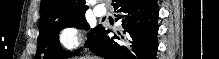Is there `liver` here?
Returning <instances> with one entry per match:
<instances>
[{"instance_id":"obj_1","label":"liver","mask_w":219,"mask_h":59,"mask_svg":"<svg viewBox=\"0 0 219 59\" xmlns=\"http://www.w3.org/2000/svg\"><path fill=\"white\" fill-rule=\"evenodd\" d=\"M79 59H98V58L97 57H87V56H85V57H81Z\"/></svg>"}]
</instances>
